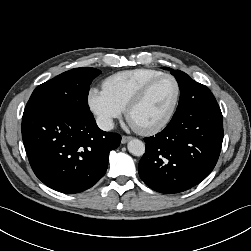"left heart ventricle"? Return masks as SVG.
Wrapping results in <instances>:
<instances>
[{
    "mask_svg": "<svg viewBox=\"0 0 251 251\" xmlns=\"http://www.w3.org/2000/svg\"><path fill=\"white\" fill-rule=\"evenodd\" d=\"M174 96V82L170 78L159 80L152 86L143 102L132 112V122L137 126L157 123L169 111Z\"/></svg>",
    "mask_w": 251,
    "mask_h": 251,
    "instance_id": "1",
    "label": "left heart ventricle"
}]
</instances>
